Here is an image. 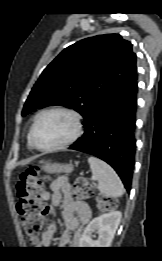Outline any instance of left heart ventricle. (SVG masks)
Returning <instances> with one entry per match:
<instances>
[{"label": "left heart ventricle", "mask_w": 162, "mask_h": 261, "mask_svg": "<svg viewBox=\"0 0 162 261\" xmlns=\"http://www.w3.org/2000/svg\"><path fill=\"white\" fill-rule=\"evenodd\" d=\"M74 130L72 118L61 112L45 114L35 129V142L40 147H50L67 139Z\"/></svg>", "instance_id": "b2bd125f"}]
</instances>
